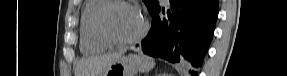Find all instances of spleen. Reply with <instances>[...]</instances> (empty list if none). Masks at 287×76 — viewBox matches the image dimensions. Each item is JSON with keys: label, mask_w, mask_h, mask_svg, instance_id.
Segmentation results:
<instances>
[{"label": "spleen", "mask_w": 287, "mask_h": 76, "mask_svg": "<svg viewBox=\"0 0 287 76\" xmlns=\"http://www.w3.org/2000/svg\"><path fill=\"white\" fill-rule=\"evenodd\" d=\"M132 57L139 64L140 72L150 71L155 66L154 60L150 57L145 56V55H132Z\"/></svg>", "instance_id": "spleen-1"}]
</instances>
